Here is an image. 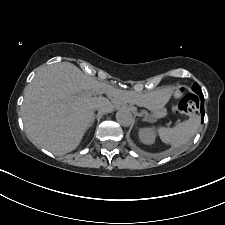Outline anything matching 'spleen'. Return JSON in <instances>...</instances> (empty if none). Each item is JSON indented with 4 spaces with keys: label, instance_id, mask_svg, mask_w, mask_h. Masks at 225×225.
I'll return each mask as SVG.
<instances>
[{
    "label": "spleen",
    "instance_id": "3e777b00",
    "mask_svg": "<svg viewBox=\"0 0 225 225\" xmlns=\"http://www.w3.org/2000/svg\"><path fill=\"white\" fill-rule=\"evenodd\" d=\"M199 125V116L193 115L173 128L159 127L158 135L163 143L171 145L172 148H177L186 144L195 135Z\"/></svg>",
    "mask_w": 225,
    "mask_h": 225
}]
</instances>
